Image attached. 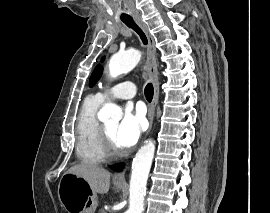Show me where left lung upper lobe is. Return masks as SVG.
Masks as SVG:
<instances>
[{"mask_svg": "<svg viewBox=\"0 0 270 213\" xmlns=\"http://www.w3.org/2000/svg\"><path fill=\"white\" fill-rule=\"evenodd\" d=\"M104 60V58H102V61ZM102 71H103V67L101 65H97L96 68L94 69L91 77H90V81H89V86L92 87L96 84V82L99 80V78L102 75Z\"/></svg>", "mask_w": 270, "mask_h": 213, "instance_id": "1", "label": "left lung upper lobe"}]
</instances>
